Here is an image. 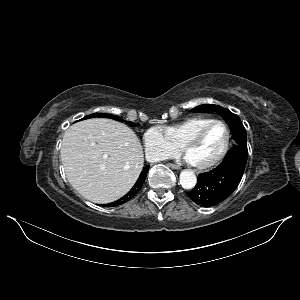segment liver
<instances>
[{
	"label": "liver",
	"instance_id": "obj_1",
	"mask_svg": "<svg viewBox=\"0 0 300 300\" xmlns=\"http://www.w3.org/2000/svg\"><path fill=\"white\" fill-rule=\"evenodd\" d=\"M60 157L72 187L98 204L116 201L128 193L144 166L136 134L125 124L107 118L70 126L63 135Z\"/></svg>",
	"mask_w": 300,
	"mask_h": 300
}]
</instances>
